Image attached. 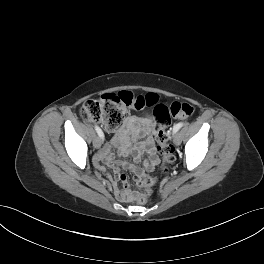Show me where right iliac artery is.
<instances>
[{"mask_svg": "<svg viewBox=\"0 0 264 264\" xmlns=\"http://www.w3.org/2000/svg\"><path fill=\"white\" fill-rule=\"evenodd\" d=\"M95 130L98 133L99 137L104 139V134H103L102 130L96 125H95Z\"/></svg>", "mask_w": 264, "mask_h": 264, "instance_id": "right-iliac-artery-1", "label": "right iliac artery"}]
</instances>
